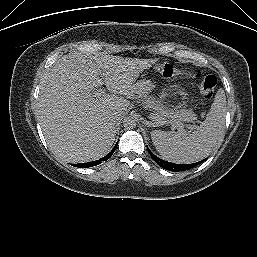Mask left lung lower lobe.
<instances>
[{"instance_id":"left-lung-lower-lobe-1","label":"left lung lower lobe","mask_w":257,"mask_h":257,"mask_svg":"<svg viewBox=\"0 0 257 257\" xmlns=\"http://www.w3.org/2000/svg\"><path fill=\"white\" fill-rule=\"evenodd\" d=\"M149 154L151 155V157L153 158V160L162 168L166 169V170H169V171H175V172H178V171H185V170H188V169H191L199 164H201L202 162H204L206 159L204 160H201L199 162H196V163H192V164H175V163H171V162H167V161H164L160 158H158L157 156H155L149 149Z\"/></svg>"}]
</instances>
